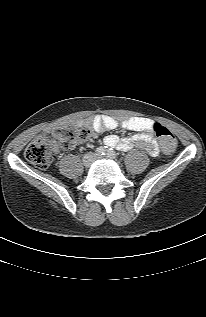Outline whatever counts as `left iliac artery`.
<instances>
[{
  "mask_svg": "<svg viewBox=\"0 0 206 317\" xmlns=\"http://www.w3.org/2000/svg\"><path fill=\"white\" fill-rule=\"evenodd\" d=\"M107 157H109L111 159L117 158V155H116L115 151H113L112 148L107 150Z\"/></svg>",
  "mask_w": 206,
  "mask_h": 317,
  "instance_id": "1",
  "label": "left iliac artery"
}]
</instances>
